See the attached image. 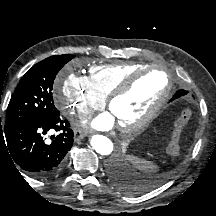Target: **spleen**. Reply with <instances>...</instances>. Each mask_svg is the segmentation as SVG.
<instances>
[{
	"instance_id": "spleen-1",
	"label": "spleen",
	"mask_w": 216,
	"mask_h": 216,
	"mask_svg": "<svg viewBox=\"0 0 216 216\" xmlns=\"http://www.w3.org/2000/svg\"><path fill=\"white\" fill-rule=\"evenodd\" d=\"M128 160L142 172L151 173L157 170V166L151 161H147L135 156H128Z\"/></svg>"
}]
</instances>
